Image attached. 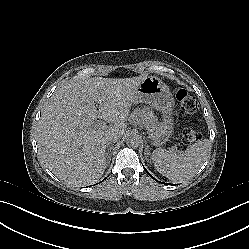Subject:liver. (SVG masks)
I'll use <instances>...</instances> for the list:
<instances>
[{"mask_svg":"<svg viewBox=\"0 0 249 249\" xmlns=\"http://www.w3.org/2000/svg\"><path fill=\"white\" fill-rule=\"evenodd\" d=\"M143 80L77 81L58 91L38 123L41 160L55 172L74 174L79 183L98 181L107 165L104 137L123 135L135 89ZM98 117L104 122L96 123Z\"/></svg>","mask_w":249,"mask_h":249,"instance_id":"1","label":"liver"}]
</instances>
